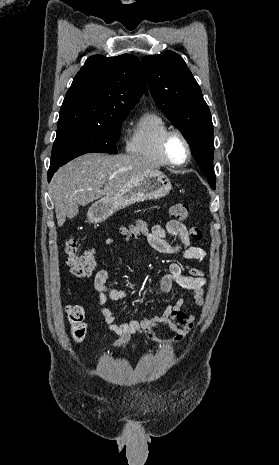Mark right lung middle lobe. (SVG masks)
I'll return each instance as SVG.
<instances>
[{
  "instance_id": "1",
  "label": "right lung middle lobe",
  "mask_w": 279,
  "mask_h": 465,
  "mask_svg": "<svg viewBox=\"0 0 279 465\" xmlns=\"http://www.w3.org/2000/svg\"><path fill=\"white\" fill-rule=\"evenodd\" d=\"M130 110H114L100 123H74L58 127L50 166H62L89 153L116 154L121 124Z\"/></svg>"
}]
</instances>
